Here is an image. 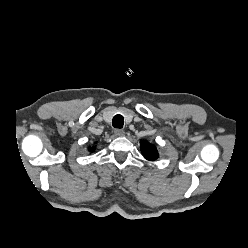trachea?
Wrapping results in <instances>:
<instances>
[{"label": "trachea", "mask_w": 248, "mask_h": 248, "mask_svg": "<svg viewBox=\"0 0 248 248\" xmlns=\"http://www.w3.org/2000/svg\"><path fill=\"white\" fill-rule=\"evenodd\" d=\"M112 125L115 128L121 129L124 125V120L122 115H115L112 120Z\"/></svg>", "instance_id": "1"}]
</instances>
